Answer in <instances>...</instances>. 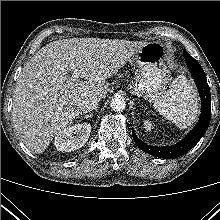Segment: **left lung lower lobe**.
<instances>
[{"instance_id": "obj_1", "label": "left lung lower lobe", "mask_w": 220, "mask_h": 220, "mask_svg": "<svg viewBox=\"0 0 220 220\" xmlns=\"http://www.w3.org/2000/svg\"><path fill=\"white\" fill-rule=\"evenodd\" d=\"M183 55L186 59L187 66L191 70L201 98V115L195 128L189 132V134L181 142L168 147L147 145L139 140L134 131H132L133 139L138 147H140L144 152L160 158L180 157L191 150L204 136L211 119V94L204 70L201 65L186 52V50H183Z\"/></svg>"}]
</instances>
